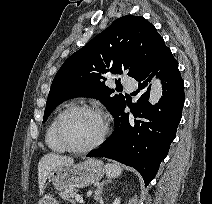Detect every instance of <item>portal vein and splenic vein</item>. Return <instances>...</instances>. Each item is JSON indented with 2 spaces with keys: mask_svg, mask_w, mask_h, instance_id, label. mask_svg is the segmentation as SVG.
<instances>
[{
  "mask_svg": "<svg viewBox=\"0 0 212 204\" xmlns=\"http://www.w3.org/2000/svg\"><path fill=\"white\" fill-rule=\"evenodd\" d=\"M75 199H76V201H78L80 203H83L84 202L81 195H76Z\"/></svg>",
  "mask_w": 212,
  "mask_h": 204,
  "instance_id": "18ae733b",
  "label": "portal vein and splenic vein"
}]
</instances>
